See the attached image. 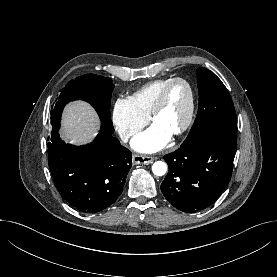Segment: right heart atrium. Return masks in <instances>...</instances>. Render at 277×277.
Returning <instances> with one entry per match:
<instances>
[{"instance_id": "d8ad5b80", "label": "right heart atrium", "mask_w": 277, "mask_h": 277, "mask_svg": "<svg viewBox=\"0 0 277 277\" xmlns=\"http://www.w3.org/2000/svg\"><path fill=\"white\" fill-rule=\"evenodd\" d=\"M112 121L120 138L127 141L146 126L148 116L137 108L131 97H120L115 102Z\"/></svg>"}]
</instances>
